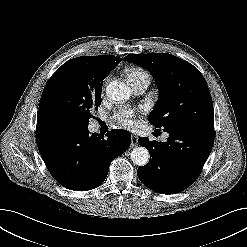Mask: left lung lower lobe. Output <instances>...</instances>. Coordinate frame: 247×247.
I'll return each mask as SVG.
<instances>
[{
    "mask_svg": "<svg viewBox=\"0 0 247 247\" xmlns=\"http://www.w3.org/2000/svg\"><path fill=\"white\" fill-rule=\"evenodd\" d=\"M167 142L149 141L141 137L138 143L148 149L150 160L139 167V180L161 194H174L188 188L199 176L211 152L214 133L198 130L168 132Z\"/></svg>",
    "mask_w": 247,
    "mask_h": 247,
    "instance_id": "obj_1",
    "label": "left lung lower lobe"
}]
</instances>
